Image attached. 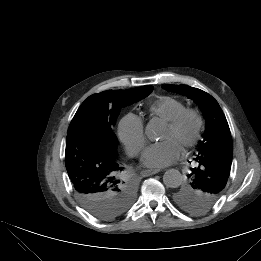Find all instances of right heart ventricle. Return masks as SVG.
I'll use <instances>...</instances> for the list:
<instances>
[{"label": "right heart ventricle", "mask_w": 261, "mask_h": 261, "mask_svg": "<svg viewBox=\"0 0 261 261\" xmlns=\"http://www.w3.org/2000/svg\"><path fill=\"white\" fill-rule=\"evenodd\" d=\"M185 108L186 105L181 100L165 96L152 103L149 110L151 113L159 116L163 120L170 121Z\"/></svg>", "instance_id": "1"}]
</instances>
